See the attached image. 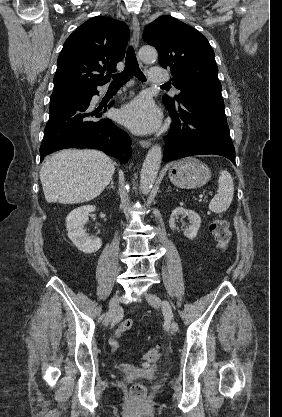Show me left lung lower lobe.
<instances>
[{"label": "left lung lower lobe", "mask_w": 282, "mask_h": 417, "mask_svg": "<svg viewBox=\"0 0 282 417\" xmlns=\"http://www.w3.org/2000/svg\"><path fill=\"white\" fill-rule=\"evenodd\" d=\"M179 102L180 106L165 104L173 123L169 135L165 137L163 161L215 154L230 159L236 165L221 90L194 88Z\"/></svg>", "instance_id": "obj_1"}]
</instances>
